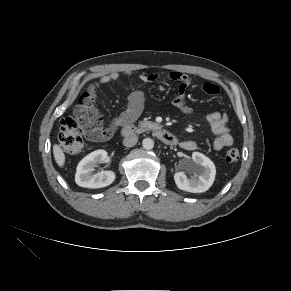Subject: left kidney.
I'll list each match as a JSON object with an SVG mask.
<instances>
[{"label": "left kidney", "instance_id": "obj_1", "mask_svg": "<svg viewBox=\"0 0 291 291\" xmlns=\"http://www.w3.org/2000/svg\"><path fill=\"white\" fill-rule=\"evenodd\" d=\"M194 165L192 169L195 175L188 178L184 172L174 174L177 187L191 193H202L207 191L213 184L216 168L214 163L200 152L192 153Z\"/></svg>", "mask_w": 291, "mask_h": 291}]
</instances>
